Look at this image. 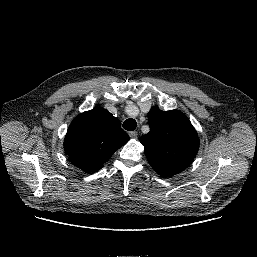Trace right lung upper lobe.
<instances>
[{"label":"right lung upper lobe","instance_id":"cb5924a9","mask_svg":"<svg viewBox=\"0 0 257 257\" xmlns=\"http://www.w3.org/2000/svg\"><path fill=\"white\" fill-rule=\"evenodd\" d=\"M129 139L117 118L106 109L95 107L72 121L64 150L72 164L90 173L101 169Z\"/></svg>","mask_w":257,"mask_h":257}]
</instances>
